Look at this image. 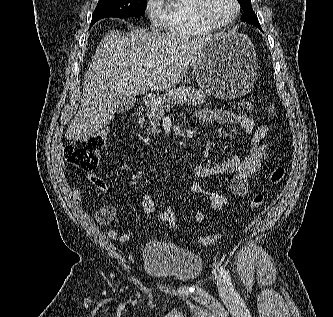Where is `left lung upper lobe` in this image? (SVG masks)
<instances>
[{"mask_svg":"<svg viewBox=\"0 0 333 317\" xmlns=\"http://www.w3.org/2000/svg\"><path fill=\"white\" fill-rule=\"evenodd\" d=\"M238 2L240 3L241 7L244 9V15L241 18V20L243 22L253 24L261 30V25L258 21V18L256 16L255 12L252 9L251 1L250 0H238Z\"/></svg>","mask_w":333,"mask_h":317,"instance_id":"left-lung-upper-lobe-1","label":"left lung upper lobe"}]
</instances>
